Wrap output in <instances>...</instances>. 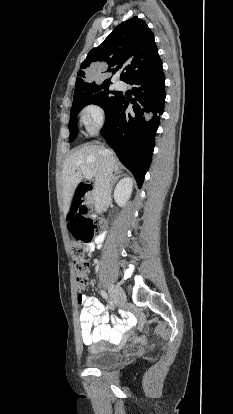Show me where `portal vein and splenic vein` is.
Segmentation results:
<instances>
[{"mask_svg": "<svg viewBox=\"0 0 233 414\" xmlns=\"http://www.w3.org/2000/svg\"><path fill=\"white\" fill-rule=\"evenodd\" d=\"M85 177H86L87 179H91V178H92V175H91L90 173H86V174H85Z\"/></svg>", "mask_w": 233, "mask_h": 414, "instance_id": "18ae733b", "label": "portal vein and splenic vein"}]
</instances>
